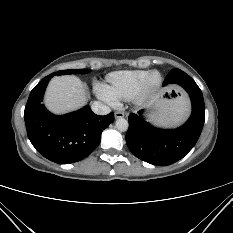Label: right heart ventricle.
I'll return each instance as SVG.
<instances>
[{
  "instance_id": "obj_1",
  "label": "right heart ventricle",
  "mask_w": 233,
  "mask_h": 233,
  "mask_svg": "<svg viewBox=\"0 0 233 233\" xmlns=\"http://www.w3.org/2000/svg\"><path fill=\"white\" fill-rule=\"evenodd\" d=\"M150 71L124 70L107 75L106 84L103 86L114 102L131 100L136 95L142 81Z\"/></svg>"
}]
</instances>
